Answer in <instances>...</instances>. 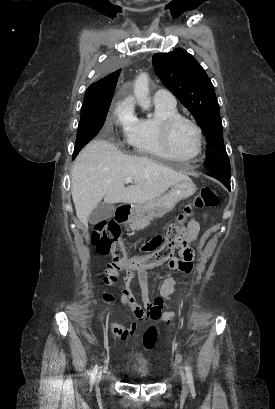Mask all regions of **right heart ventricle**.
I'll list each match as a JSON object with an SVG mask.
<instances>
[{
    "label": "right heart ventricle",
    "instance_id": "obj_1",
    "mask_svg": "<svg viewBox=\"0 0 275 409\" xmlns=\"http://www.w3.org/2000/svg\"><path fill=\"white\" fill-rule=\"evenodd\" d=\"M175 116H179L175 107L155 105L154 116L137 120L128 138L132 152L147 157H170L163 145L162 125Z\"/></svg>",
    "mask_w": 275,
    "mask_h": 409
}]
</instances>
